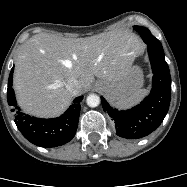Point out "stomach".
<instances>
[{
    "mask_svg": "<svg viewBox=\"0 0 187 187\" xmlns=\"http://www.w3.org/2000/svg\"><path fill=\"white\" fill-rule=\"evenodd\" d=\"M143 81L142 70L132 65L121 80L117 82L99 80L96 86H102L103 93L110 101L118 102L138 91L143 86Z\"/></svg>",
    "mask_w": 187,
    "mask_h": 187,
    "instance_id": "1",
    "label": "stomach"
}]
</instances>
